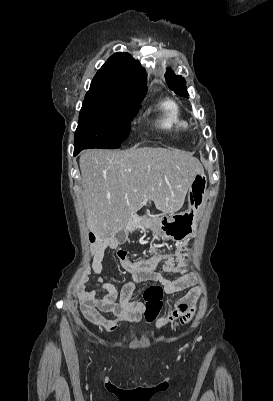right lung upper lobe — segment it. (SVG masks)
<instances>
[{
    "instance_id": "obj_1",
    "label": "right lung upper lobe",
    "mask_w": 273,
    "mask_h": 401,
    "mask_svg": "<svg viewBox=\"0 0 273 401\" xmlns=\"http://www.w3.org/2000/svg\"><path fill=\"white\" fill-rule=\"evenodd\" d=\"M145 95V69L130 54L118 52L97 72L85 99L139 107Z\"/></svg>"
}]
</instances>
